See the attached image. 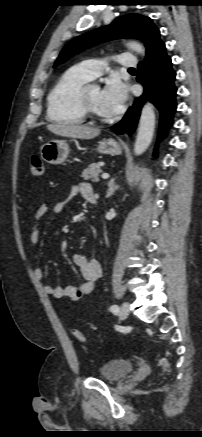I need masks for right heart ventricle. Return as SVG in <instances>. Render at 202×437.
Returning <instances> with one entry per match:
<instances>
[{
  "label": "right heart ventricle",
  "instance_id": "1",
  "mask_svg": "<svg viewBox=\"0 0 202 437\" xmlns=\"http://www.w3.org/2000/svg\"><path fill=\"white\" fill-rule=\"evenodd\" d=\"M90 79L76 66L64 72L47 96V117L63 124H81L82 114L78 97Z\"/></svg>",
  "mask_w": 202,
  "mask_h": 437
}]
</instances>
